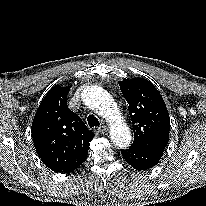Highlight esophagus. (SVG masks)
I'll use <instances>...</instances> for the list:
<instances>
[{
  "label": "esophagus",
  "mask_w": 206,
  "mask_h": 206,
  "mask_svg": "<svg viewBox=\"0 0 206 206\" xmlns=\"http://www.w3.org/2000/svg\"><path fill=\"white\" fill-rule=\"evenodd\" d=\"M93 131H94L95 133H104V132L107 131V126L104 125V124H102V125H100V126L94 127Z\"/></svg>",
  "instance_id": "1"
}]
</instances>
